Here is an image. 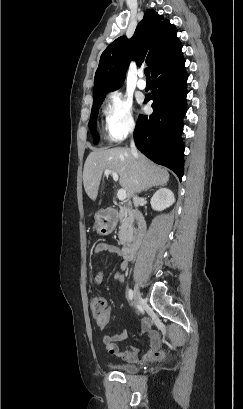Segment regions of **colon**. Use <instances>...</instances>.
Instances as JSON below:
<instances>
[{"label": "colon", "mask_w": 243, "mask_h": 409, "mask_svg": "<svg viewBox=\"0 0 243 409\" xmlns=\"http://www.w3.org/2000/svg\"><path fill=\"white\" fill-rule=\"evenodd\" d=\"M91 309L95 312L101 310L104 307V302L102 297L95 296L90 302Z\"/></svg>", "instance_id": "1"}]
</instances>
